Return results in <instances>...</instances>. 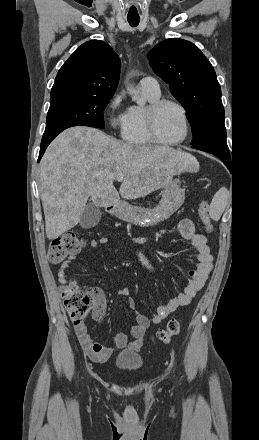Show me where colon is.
<instances>
[{"label":"colon","instance_id":"1","mask_svg":"<svg viewBox=\"0 0 259 440\" xmlns=\"http://www.w3.org/2000/svg\"><path fill=\"white\" fill-rule=\"evenodd\" d=\"M199 216L208 231L212 230L211 219L209 216V204L203 200L198 207ZM84 247V240L73 232H67L53 240L48 250V260L52 264H58L71 256L77 255ZM62 297L64 305L70 315L73 324H83L90 309L95 304V298L90 290L89 292L78 288L75 284L62 288ZM180 331V322L170 320L165 329L157 332V338L163 343H168L171 338Z\"/></svg>","mask_w":259,"mask_h":440}]
</instances>
